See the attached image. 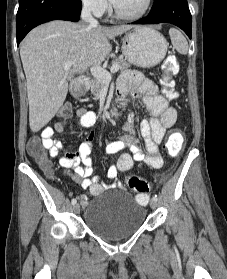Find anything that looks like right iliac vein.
I'll return each mask as SVG.
<instances>
[{"label": "right iliac vein", "mask_w": 227, "mask_h": 279, "mask_svg": "<svg viewBox=\"0 0 227 279\" xmlns=\"http://www.w3.org/2000/svg\"><path fill=\"white\" fill-rule=\"evenodd\" d=\"M73 210H74L75 213H79L80 205L79 204H75L74 207H73Z\"/></svg>", "instance_id": "right-iliac-vein-1"}]
</instances>
